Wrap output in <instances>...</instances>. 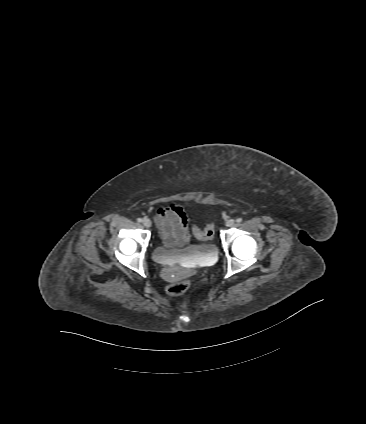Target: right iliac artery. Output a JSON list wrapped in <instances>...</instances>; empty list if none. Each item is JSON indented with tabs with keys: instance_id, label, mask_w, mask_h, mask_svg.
I'll use <instances>...</instances> for the list:
<instances>
[{
	"instance_id": "right-iliac-artery-1",
	"label": "right iliac artery",
	"mask_w": 366,
	"mask_h": 424,
	"mask_svg": "<svg viewBox=\"0 0 366 424\" xmlns=\"http://www.w3.org/2000/svg\"><path fill=\"white\" fill-rule=\"evenodd\" d=\"M137 221L138 222H142L143 220H142V218H138Z\"/></svg>"
}]
</instances>
